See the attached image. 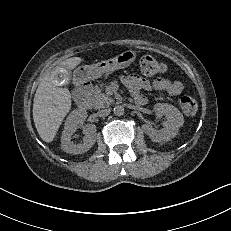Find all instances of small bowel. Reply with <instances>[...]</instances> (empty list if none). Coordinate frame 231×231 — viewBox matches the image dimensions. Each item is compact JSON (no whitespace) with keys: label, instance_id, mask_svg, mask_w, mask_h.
<instances>
[{"label":"small bowel","instance_id":"1","mask_svg":"<svg viewBox=\"0 0 231 231\" xmlns=\"http://www.w3.org/2000/svg\"><path fill=\"white\" fill-rule=\"evenodd\" d=\"M121 81L129 89L134 100L138 97H144L141 95L142 90L166 91L172 97L179 96L183 91V85L180 81L168 78H157L150 81L139 75L129 74L121 77Z\"/></svg>","mask_w":231,"mask_h":231}]
</instances>
